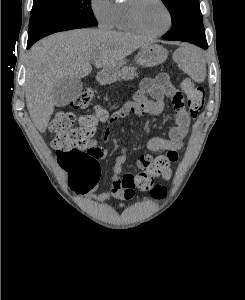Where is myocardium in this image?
<instances>
[{
  "mask_svg": "<svg viewBox=\"0 0 245 300\" xmlns=\"http://www.w3.org/2000/svg\"><path fill=\"white\" fill-rule=\"evenodd\" d=\"M155 1L158 2L163 7V9L165 10V12L167 14V18H168L167 26L164 29H162L161 31H157V32H152V31H149L148 29H146L141 21L140 10H141V6L145 2V0H131L129 7H128L129 18H130V21L132 22V24L142 34L152 36V37L161 36L164 33H166L171 28L172 21H173L171 10L168 7V5L165 3V1L164 0H155Z\"/></svg>",
  "mask_w": 245,
  "mask_h": 300,
  "instance_id": "myocardium-1",
  "label": "myocardium"
}]
</instances>
